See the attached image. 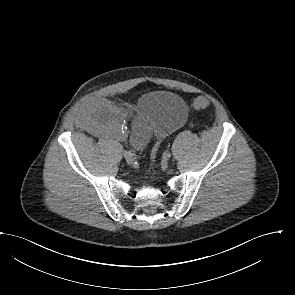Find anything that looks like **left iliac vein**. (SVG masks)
Segmentation results:
<instances>
[{
  "instance_id": "1",
  "label": "left iliac vein",
  "mask_w": 295,
  "mask_h": 295,
  "mask_svg": "<svg viewBox=\"0 0 295 295\" xmlns=\"http://www.w3.org/2000/svg\"><path fill=\"white\" fill-rule=\"evenodd\" d=\"M168 158L167 157H164V159L162 160V167L163 168H167L168 167Z\"/></svg>"
}]
</instances>
